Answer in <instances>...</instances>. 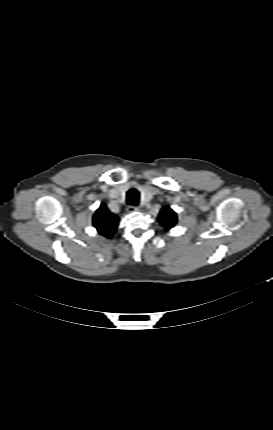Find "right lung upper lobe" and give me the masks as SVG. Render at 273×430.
<instances>
[{"instance_id":"right-lung-upper-lobe-1","label":"right lung upper lobe","mask_w":273,"mask_h":430,"mask_svg":"<svg viewBox=\"0 0 273 430\" xmlns=\"http://www.w3.org/2000/svg\"><path fill=\"white\" fill-rule=\"evenodd\" d=\"M118 217L111 213L106 205L102 204L93 216V224L97 231L109 238L111 237L118 225Z\"/></svg>"}]
</instances>
